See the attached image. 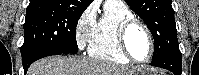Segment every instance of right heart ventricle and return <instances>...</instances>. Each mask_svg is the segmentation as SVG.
I'll return each mask as SVG.
<instances>
[{
    "label": "right heart ventricle",
    "instance_id": "obj_1",
    "mask_svg": "<svg viewBox=\"0 0 199 75\" xmlns=\"http://www.w3.org/2000/svg\"><path fill=\"white\" fill-rule=\"evenodd\" d=\"M131 17L133 13L126 6H105L89 42L88 54L117 64H129L130 60L119 47L117 29L121 22Z\"/></svg>",
    "mask_w": 199,
    "mask_h": 75
}]
</instances>
